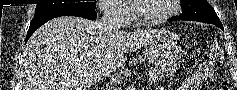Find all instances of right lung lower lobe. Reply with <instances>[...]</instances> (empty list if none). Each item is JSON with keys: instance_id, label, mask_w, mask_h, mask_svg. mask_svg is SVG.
Here are the masks:
<instances>
[{"instance_id": "obj_1", "label": "right lung lower lobe", "mask_w": 237, "mask_h": 90, "mask_svg": "<svg viewBox=\"0 0 237 90\" xmlns=\"http://www.w3.org/2000/svg\"><path fill=\"white\" fill-rule=\"evenodd\" d=\"M59 16H78L82 18H87L90 20H95L97 18V14L95 9H88V8H67L61 9L46 15L34 17L30 23L29 30L27 32L26 40L44 23L51 20L52 18L59 17Z\"/></svg>"}]
</instances>
